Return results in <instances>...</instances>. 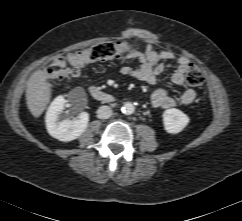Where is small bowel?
I'll list each match as a JSON object with an SVG mask.
<instances>
[{
  "instance_id": "small-bowel-1",
  "label": "small bowel",
  "mask_w": 242,
  "mask_h": 221,
  "mask_svg": "<svg viewBox=\"0 0 242 221\" xmlns=\"http://www.w3.org/2000/svg\"><path fill=\"white\" fill-rule=\"evenodd\" d=\"M127 38L137 37L146 39L143 32H129ZM136 58L139 61L138 67L123 66L120 73L126 77H132L147 84L153 85L157 82L158 76L162 73L164 61H174L177 64L171 81L176 86H182L185 82V72L189 66V60L182 56H177L171 51L157 52L153 44L148 41L143 52L133 51L119 57L118 61L122 62L127 59ZM196 98V92L193 89H186L181 95V103L190 105ZM151 104L155 108L168 109L176 105V100L169 94L166 89H157L151 95Z\"/></svg>"
}]
</instances>
